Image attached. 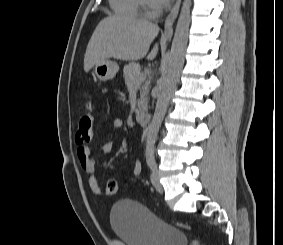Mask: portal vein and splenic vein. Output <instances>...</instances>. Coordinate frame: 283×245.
I'll use <instances>...</instances> for the list:
<instances>
[{
    "label": "portal vein and splenic vein",
    "mask_w": 283,
    "mask_h": 245,
    "mask_svg": "<svg viewBox=\"0 0 283 245\" xmlns=\"http://www.w3.org/2000/svg\"><path fill=\"white\" fill-rule=\"evenodd\" d=\"M146 79V75L145 74H142V75H140L139 76V78H138V81H143V80H145Z\"/></svg>",
    "instance_id": "portal-vein-and-splenic-vein-1"
}]
</instances>
